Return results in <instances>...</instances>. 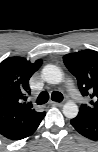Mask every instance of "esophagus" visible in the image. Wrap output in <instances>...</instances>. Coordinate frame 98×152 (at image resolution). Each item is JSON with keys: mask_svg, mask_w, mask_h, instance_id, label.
<instances>
[{"mask_svg": "<svg viewBox=\"0 0 98 152\" xmlns=\"http://www.w3.org/2000/svg\"><path fill=\"white\" fill-rule=\"evenodd\" d=\"M49 104H50L51 106H56V107H60V106L63 105L62 102H55V101H50Z\"/></svg>", "mask_w": 98, "mask_h": 152, "instance_id": "34e87169", "label": "esophagus"}]
</instances>
